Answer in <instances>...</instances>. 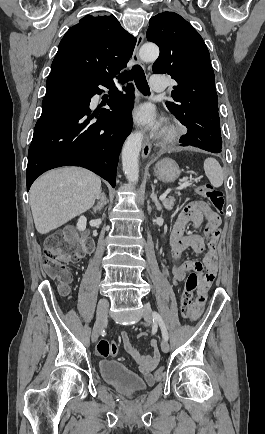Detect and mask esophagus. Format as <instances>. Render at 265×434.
Wrapping results in <instances>:
<instances>
[{"instance_id":"34e87169","label":"esophagus","mask_w":265,"mask_h":434,"mask_svg":"<svg viewBox=\"0 0 265 434\" xmlns=\"http://www.w3.org/2000/svg\"><path fill=\"white\" fill-rule=\"evenodd\" d=\"M143 40H144V34L140 33L138 38H137V43H136V46H135V49H134V52L132 55V60L134 63L140 65L142 68H145V64L139 58V48H140ZM150 151H151V143L146 138L144 143H143V147H142V158L146 159L149 156Z\"/></svg>"}]
</instances>
